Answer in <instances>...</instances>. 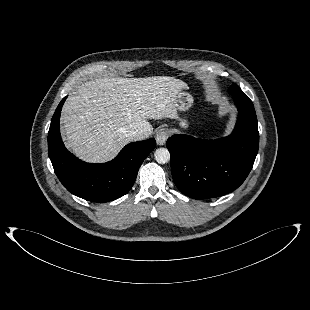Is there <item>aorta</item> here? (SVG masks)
Listing matches in <instances>:
<instances>
[{"label": "aorta", "instance_id": "1", "mask_svg": "<svg viewBox=\"0 0 310 310\" xmlns=\"http://www.w3.org/2000/svg\"><path fill=\"white\" fill-rule=\"evenodd\" d=\"M154 157L157 163L165 164L170 161V152L167 148H158L154 153Z\"/></svg>", "mask_w": 310, "mask_h": 310}]
</instances>
